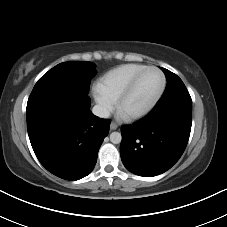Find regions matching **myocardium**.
I'll list each match as a JSON object with an SVG mask.
<instances>
[{"label":"myocardium","mask_w":227,"mask_h":227,"mask_svg":"<svg viewBox=\"0 0 227 227\" xmlns=\"http://www.w3.org/2000/svg\"><path fill=\"white\" fill-rule=\"evenodd\" d=\"M149 70H156L158 71L162 76V86L158 92V94L144 107H142L139 110L136 111H126L124 109L125 102L127 99L131 96L133 91L135 90L137 84L139 83L141 77ZM167 86V78L165 73L162 69H160L157 66H146L143 68L140 72H138L135 77L131 80V82L128 84V86L125 88V90L122 92V94L118 98L117 106L119 111L123 114V116L129 120H136L140 119L144 116H146L160 101L162 98Z\"/></svg>","instance_id":"myocardium-1"}]
</instances>
